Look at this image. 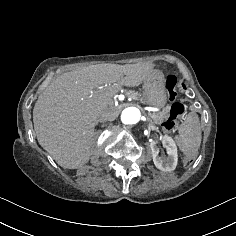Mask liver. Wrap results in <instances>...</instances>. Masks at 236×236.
Instances as JSON below:
<instances>
[{
  "instance_id": "obj_1",
  "label": "liver",
  "mask_w": 236,
  "mask_h": 236,
  "mask_svg": "<svg viewBox=\"0 0 236 236\" xmlns=\"http://www.w3.org/2000/svg\"><path fill=\"white\" fill-rule=\"evenodd\" d=\"M156 63H101L79 67L52 79L33 109L39 145L64 169L90 161L95 128L114 121L119 112L113 96L123 87L137 88ZM107 84L106 88H101Z\"/></svg>"
}]
</instances>
